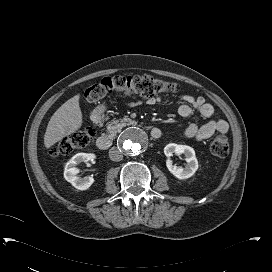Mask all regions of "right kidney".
Wrapping results in <instances>:
<instances>
[{
  "instance_id": "ca27d5eb",
  "label": "right kidney",
  "mask_w": 272,
  "mask_h": 272,
  "mask_svg": "<svg viewBox=\"0 0 272 272\" xmlns=\"http://www.w3.org/2000/svg\"><path fill=\"white\" fill-rule=\"evenodd\" d=\"M95 155L91 153H78L74 155L65 165L64 178L78 190H87L93 183V177L80 178L77 176L79 169L76 167L81 162L93 161Z\"/></svg>"
}]
</instances>
